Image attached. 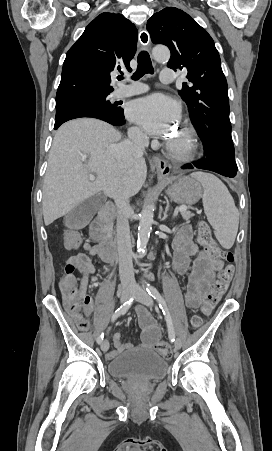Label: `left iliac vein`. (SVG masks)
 <instances>
[{"label": "left iliac vein", "instance_id": "1", "mask_svg": "<svg viewBox=\"0 0 272 451\" xmlns=\"http://www.w3.org/2000/svg\"><path fill=\"white\" fill-rule=\"evenodd\" d=\"M133 294L136 296V300L138 302L143 303L148 307H153L152 297L144 289H142L138 286H134ZM174 346L176 349H179L181 347V341L179 339H177L174 343Z\"/></svg>", "mask_w": 272, "mask_h": 451}]
</instances>
